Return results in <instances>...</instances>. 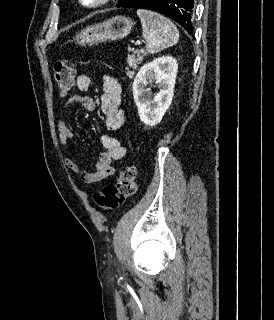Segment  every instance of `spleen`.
<instances>
[{
    "label": "spleen",
    "mask_w": 274,
    "mask_h": 320,
    "mask_svg": "<svg viewBox=\"0 0 274 320\" xmlns=\"http://www.w3.org/2000/svg\"><path fill=\"white\" fill-rule=\"evenodd\" d=\"M137 16L141 20L142 38L146 40V50L149 54H157L164 48L177 44L179 32L170 20L149 10H137Z\"/></svg>",
    "instance_id": "spleen-1"
}]
</instances>
